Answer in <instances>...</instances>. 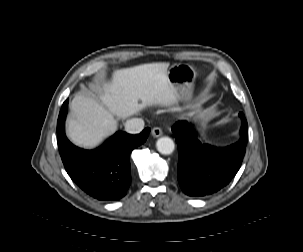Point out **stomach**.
I'll use <instances>...</instances> for the list:
<instances>
[{
  "instance_id": "stomach-1",
  "label": "stomach",
  "mask_w": 303,
  "mask_h": 252,
  "mask_svg": "<svg viewBox=\"0 0 303 252\" xmlns=\"http://www.w3.org/2000/svg\"><path fill=\"white\" fill-rule=\"evenodd\" d=\"M197 72L193 66L186 63H178L170 66L167 70V79L169 85L175 92L176 97L187 100L193 90ZM193 116L201 124V134L205 135L207 117L202 110H196Z\"/></svg>"
}]
</instances>
